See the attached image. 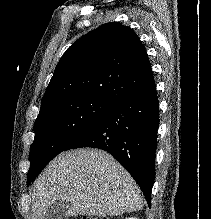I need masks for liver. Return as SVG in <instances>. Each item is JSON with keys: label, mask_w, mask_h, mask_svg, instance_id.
Segmentation results:
<instances>
[{"label": "liver", "mask_w": 211, "mask_h": 219, "mask_svg": "<svg viewBox=\"0 0 211 219\" xmlns=\"http://www.w3.org/2000/svg\"><path fill=\"white\" fill-rule=\"evenodd\" d=\"M66 200L69 216H117L143 208L141 190L107 152L76 149L54 158L34 183L32 217L45 219L50 205Z\"/></svg>", "instance_id": "liver-1"}]
</instances>
